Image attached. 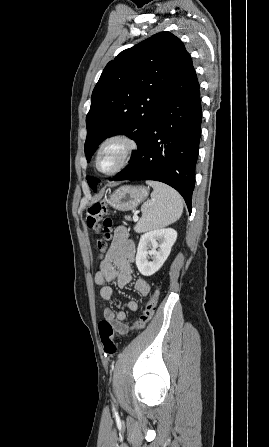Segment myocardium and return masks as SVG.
<instances>
[{
	"label": "myocardium",
	"mask_w": 269,
	"mask_h": 447,
	"mask_svg": "<svg viewBox=\"0 0 269 447\" xmlns=\"http://www.w3.org/2000/svg\"><path fill=\"white\" fill-rule=\"evenodd\" d=\"M113 142H121L124 144L123 155H122L120 161L113 168H111L107 171H102L99 168V160H100L101 153L107 146H109ZM138 146H139V143H138L137 139L135 137H133L132 135H129L126 133H116V134L109 136L102 142V144L100 145V147L97 150V154H96V168H97V170L103 174H106V175H110V174H113V173H116V172L122 170L130 163L132 157L134 156L135 152L138 149Z\"/></svg>",
	"instance_id": "myocardium-1"
}]
</instances>
